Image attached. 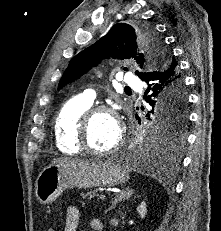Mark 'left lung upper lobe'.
<instances>
[{"label":"left lung upper lobe","mask_w":221,"mask_h":231,"mask_svg":"<svg viewBox=\"0 0 221 231\" xmlns=\"http://www.w3.org/2000/svg\"><path fill=\"white\" fill-rule=\"evenodd\" d=\"M109 57L134 58L141 68L149 69L163 67L169 59L162 39L152 27L144 25L134 28L126 23H118L111 28L107 35L70 61L59 87L68 81L77 79L100 60ZM145 74L138 72L137 75L141 78ZM174 91L178 95L177 102L169 111L160 110L157 103L150 105L151 117L147 114L151 121L148 135L159 136L165 141L179 143L184 140L182 128L187 121V98L183 88Z\"/></svg>","instance_id":"left-lung-upper-lobe-1"}]
</instances>
